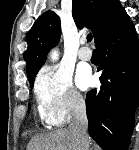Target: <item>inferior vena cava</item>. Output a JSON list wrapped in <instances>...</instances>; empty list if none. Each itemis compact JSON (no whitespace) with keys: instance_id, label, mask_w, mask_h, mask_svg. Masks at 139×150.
<instances>
[{"instance_id":"inferior-vena-cava-1","label":"inferior vena cava","mask_w":139,"mask_h":150,"mask_svg":"<svg viewBox=\"0 0 139 150\" xmlns=\"http://www.w3.org/2000/svg\"><path fill=\"white\" fill-rule=\"evenodd\" d=\"M73 103V118L69 125V129L77 143V150H89V141L87 136L88 120L85 102L81 98L75 97L73 99Z\"/></svg>"}]
</instances>
